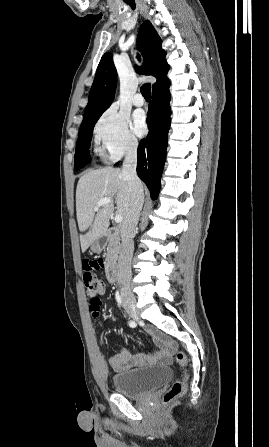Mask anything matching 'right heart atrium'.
<instances>
[{"label": "right heart atrium", "mask_w": 269, "mask_h": 447, "mask_svg": "<svg viewBox=\"0 0 269 447\" xmlns=\"http://www.w3.org/2000/svg\"><path fill=\"white\" fill-rule=\"evenodd\" d=\"M93 134L100 153L110 160H117L138 147V140L130 129L128 117L115 106L101 114L95 123Z\"/></svg>", "instance_id": "right-heart-atrium-1"}]
</instances>
